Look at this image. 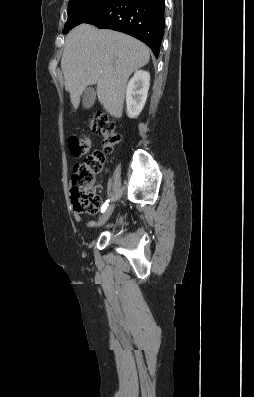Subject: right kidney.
<instances>
[{"mask_svg":"<svg viewBox=\"0 0 254 397\" xmlns=\"http://www.w3.org/2000/svg\"><path fill=\"white\" fill-rule=\"evenodd\" d=\"M150 74L139 70L134 73L126 89L127 115L130 118L137 117L142 111L149 90Z\"/></svg>","mask_w":254,"mask_h":397,"instance_id":"ca27d5eb","label":"right kidney"}]
</instances>
